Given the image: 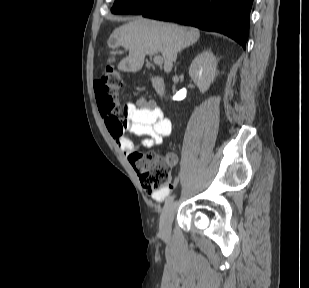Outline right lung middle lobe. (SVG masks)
Returning a JSON list of instances; mask_svg holds the SVG:
<instances>
[{
  "mask_svg": "<svg viewBox=\"0 0 309 288\" xmlns=\"http://www.w3.org/2000/svg\"><path fill=\"white\" fill-rule=\"evenodd\" d=\"M165 0H115L113 14H142Z\"/></svg>",
  "mask_w": 309,
  "mask_h": 288,
  "instance_id": "right-lung-middle-lobe-1",
  "label": "right lung middle lobe"
}]
</instances>
